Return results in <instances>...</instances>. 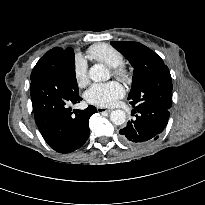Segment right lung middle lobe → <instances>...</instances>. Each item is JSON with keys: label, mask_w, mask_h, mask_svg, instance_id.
I'll return each instance as SVG.
<instances>
[{"label": "right lung middle lobe", "mask_w": 205, "mask_h": 205, "mask_svg": "<svg viewBox=\"0 0 205 205\" xmlns=\"http://www.w3.org/2000/svg\"><path fill=\"white\" fill-rule=\"evenodd\" d=\"M53 65H54L53 62L43 61V62L39 63V61H38L36 66L34 67V69L32 71L31 78L33 76L39 74L41 71L45 70L46 68H49ZM70 65H71V69L74 70V68H75L74 61Z\"/></svg>", "instance_id": "1"}]
</instances>
